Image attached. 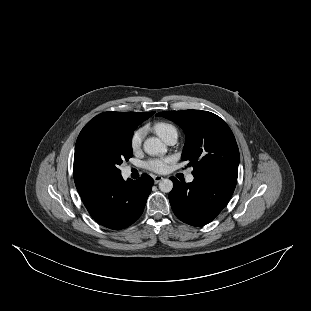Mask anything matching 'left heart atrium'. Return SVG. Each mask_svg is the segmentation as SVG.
Returning <instances> with one entry per match:
<instances>
[{
    "label": "left heart atrium",
    "mask_w": 311,
    "mask_h": 311,
    "mask_svg": "<svg viewBox=\"0 0 311 311\" xmlns=\"http://www.w3.org/2000/svg\"><path fill=\"white\" fill-rule=\"evenodd\" d=\"M171 158L153 159L145 164V168L153 173L164 174L170 168Z\"/></svg>",
    "instance_id": "obj_1"
}]
</instances>
